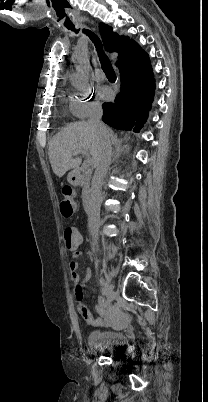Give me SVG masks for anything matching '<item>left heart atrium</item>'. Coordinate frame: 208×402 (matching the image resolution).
Segmentation results:
<instances>
[{
  "label": "left heart atrium",
  "mask_w": 208,
  "mask_h": 402,
  "mask_svg": "<svg viewBox=\"0 0 208 402\" xmlns=\"http://www.w3.org/2000/svg\"><path fill=\"white\" fill-rule=\"evenodd\" d=\"M99 97L104 101H110L113 96L114 92L109 85L101 84L98 88Z\"/></svg>",
  "instance_id": "obj_1"
}]
</instances>
